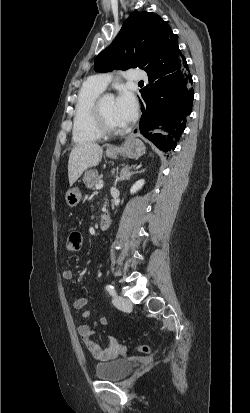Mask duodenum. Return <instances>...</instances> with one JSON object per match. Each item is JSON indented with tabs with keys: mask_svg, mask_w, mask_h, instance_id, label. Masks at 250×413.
Here are the masks:
<instances>
[{
	"mask_svg": "<svg viewBox=\"0 0 250 413\" xmlns=\"http://www.w3.org/2000/svg\"><path fill=\"white\" fill-rule=\"evenodd\" d=\"M111 224V218L108 213H104L99 220V228L104 230L107 229Z\"/></svg>",
	"mask_w": 250,
	"mask_h": 413,
	"instance_id": "1",
	"label": "duodenum"
}]
</instances>
